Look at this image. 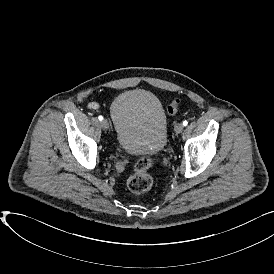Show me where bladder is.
<instances>
[{"label":"bladder","instance_id":"obj_1","mask_svg":"<svg viewBox=\"0 0 274 274\" xmlns=\"http://www.w3.org/2000/svg\"><path fill=\"white\" fill-rule=\"evenodd\" d=\"M118 146L129 155H156L167 141V117L156 95L132 89L120 93L111 106Z\"/></svg>","mask_w":274,"mask_h":274}]
</instances>
